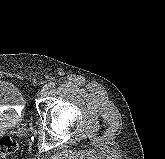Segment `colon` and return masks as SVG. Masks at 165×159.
I'll list each match as a JSON object with an SVG mask.
<instances>
[{
  "mask_svg": "<svg viewBox=\"0 0 165 159\" xmlns=\"http://www.w3.org/2000/svg\"><path fill=\"white\" fill-rule=\"evenodd\" d=\"M18 149V143L16 140L9 136H3L0 138V158H5Z\"/></svg>",
  "mask_w": 165,
  "mask_h": 159,
  "instance_id": "1",
  "label": "colon"
}]
</instances>
